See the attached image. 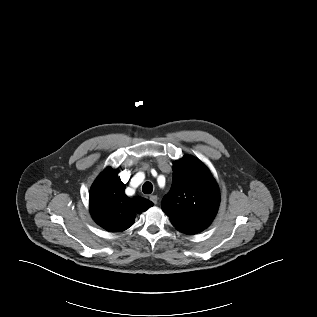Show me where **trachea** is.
Wrapping results in <instances>:
<instances>
[{
  "mask_svg": "<svg viewBox=\"0 0 317 317\" xmlns=\"http://www.w3.org/2000/svg\"><path fill=\"white\" fill-rule=\"evenodd\" d=\"M142 191L144 194H151L153 191V185L149 181L145 182L142 186Z\"/></svg>",
  "mask_w": 317,
  "mask_h": 317,
  "instance_id": "3493384b",
  "label": "trachea"
}]
</instances>
